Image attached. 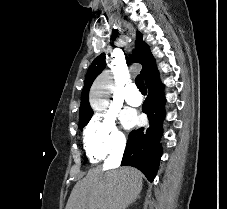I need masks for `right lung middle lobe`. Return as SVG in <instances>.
<instances>
[{
    "label": "right lung middle lobe",
    "instance_id": "right-lung-middle-lobe-1",
    "mask_svg": "<svg viewBox=\"0 0 227 209\" xmlns=\"http://www.w3.org/2000/svg\"><path fill=\"white\" fill-rule=\"evenodd\" d=\"M90 119H91V116L90 117L79 118V129H83V127L88 124Z\"/></svg>",
    "mask_w": 227,
    "mask_h": 209
}]
</instances>
